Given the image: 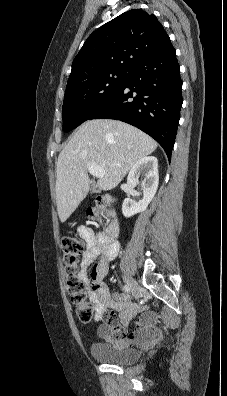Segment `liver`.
Segmentation results:
<instances>
[{
    "label": "liver",
    "instance_id": "liver-1",
    "mask_svg": "<svg viewBox=\"0 0 227 396\" xmlns=\"http://www.w3.org/2000/svg\"><path fill=\"white\" fill-rule=\"evenodd\" d=\"M157 148V142L141 130L121 121L94 119L74 132L58 156L56 203L60 221L65 222L89 191L88 164L105 172L97 185L104 191L115 188L141 158Z\"/></svg>",
    "mask_w": 227,
    "mask_h": 396
}]
</instances>
